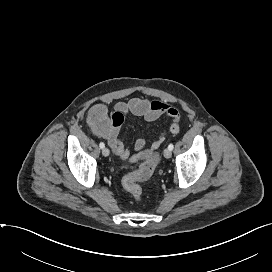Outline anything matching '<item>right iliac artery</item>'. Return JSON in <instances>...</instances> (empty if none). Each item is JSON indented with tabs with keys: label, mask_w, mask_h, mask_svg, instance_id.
Instances as JSON below:
<instances>
[{
	"label": "right iliac artery",
	"mask_w": 272,
	"mask_h": 272,
	"mask_svg": "<svg viewBox=\"0 0 272 272\" xmlns=\"http://www.w3.org/2000/svg\"><path fill=\"white\" fill-rule=\"evenodd\" d=\"M99 146H100L101 149H103V148L105 147V144H104L103 142H101V143L99 144Z\"/></svg>",
	"instance_id": "obj_1"
}]
</instances>
